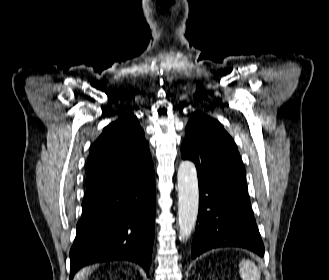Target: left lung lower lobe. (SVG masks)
I'll return each mask as SVG.
<instances>
[{
  "label": "left lung lower lobe",
  "instance_id": "obj_1",
  "mask_svg": "<svg viewBox=\"0 0 329 280\" xmlns=\"http://www.w3.org/2000/svg\"><path fill=\"white\" fill-rule=\"evenodd\" d=\"M229 186H199L198 224L192 258L214 248L240 247L264 256V245L250 205L246 182L228 174Z\"/></svg>",
  "mask_w": 329,
  "mask_h": 280
}]
</instances>
